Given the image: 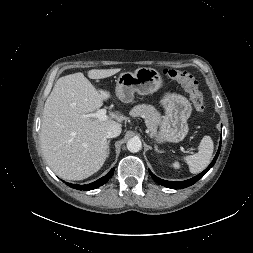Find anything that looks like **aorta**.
<instances>
[{"mask_svg":"<svg viewBox=\"0 0 253 253\" xmlns=\"http://www.w3.org/2000/svg\"><path fill=\"white\" fill-rule=\"evenodd\" d=\"M141 148H142V143L139 138H131L130 140H128L127 149L130 152H132V153L139 152L141 150Z\"/></svg>","mask_w":253,"mask_h":253,"instance_id":"1","label":"aorta"}]
</instances>
